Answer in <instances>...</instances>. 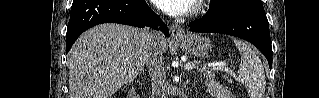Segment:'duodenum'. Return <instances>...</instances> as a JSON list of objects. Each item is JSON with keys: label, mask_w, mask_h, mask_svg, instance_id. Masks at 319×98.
Masks as SVG:
<instances>
[{"label": "duodenum", "mask_w": 319, "mask_h": 98, "mask_svg": "<svg viewBox=\"0 0 319 98\" xmlns=\"http://www.w3.org/2000/svg\"><path fill=\"white\" fill-rule=\"evenodd\" d=\"M130 97H131V98H137V95H136V93H135V89H134V88L131 90V95H130Z\"/></svg>", "instance_id": "duodenum-1"}]
</instances>
